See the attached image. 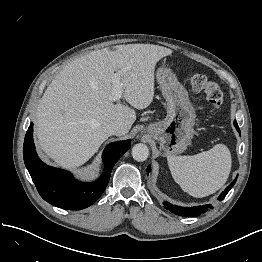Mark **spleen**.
I'll return each instance as SVG.
<instances>
[{"label":"spleen","instance_id":"spleen-1","mask_svg":"<svg viewBox=\"0 0 262 262\" xmlns=\"http://www.w3.org/2000/svg\"><path fill=\"white\" fill-rule=\"evenodd\" d=\"M167 161L175 182L197 198L213 194L223 187L232 165L231 153L223 144L193 156L170 155Z\"/></svg>","mask_w":262,"mask_h":262}]
</instances>
